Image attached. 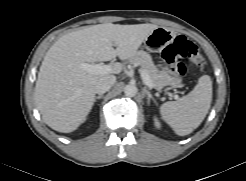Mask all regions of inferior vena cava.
Listing matches in <instances>:
<instances>
[{
    "mask_svg": "<svg viewBox=\"0 0 246 181\" xmlns=\"http://www.w3.org/2000/svg\"><path fill=\"white\" fill-rule=\"evenodd\" d=\"M116 82V77L113 75L102 77L95 85V93L101 95L107 92Z\"/></svg>",
    "mask_w": 246,
    "mask_h": 181,
    "instance_id": "inferior-vena-cava-1",
    "label": "inferior vena cava"
}]
</instances>
